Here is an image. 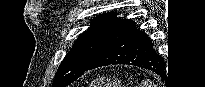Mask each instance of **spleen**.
Wrapping results in <instances>:
<instances>
[{
    "mask_svg": "<svg viewBox=\"0 0 205 87\" xmlns=\"http://www.w3.org/2000/svg\"><path fill=\"white\" fill-rule=\"evenodd\" d=\"M142 87H156V85L151 81H147L142 84Z\"/></svg>",
    "mask_w": 205,
    "mask_h": 87,
    "instance_id": "3e777b00",
    "label": "spleen"
}]
</instances>
